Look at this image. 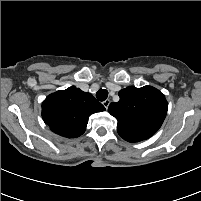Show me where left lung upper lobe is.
<instances>
[{
  "label": "left lung upper lobe",
  "instance_id": "1",
  "mask_svg": "<svg viewBox=\"0 0 201 201\" xmlns=\"http://www.w3.org/2000/svg\"><path fill=\"white\" fill-rule=\"evenodd\" d=\"M120 100L109 105L118 134L128 142H139L153 136L161 127L168 103L165 96L152 86H129L119 91Z\"/></svg>",
  "mask_w": 201,
  "mask_h": 201
}]
</instances>
